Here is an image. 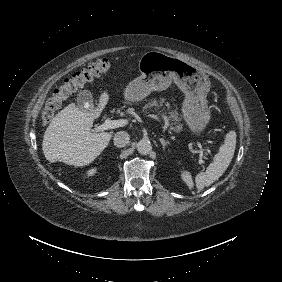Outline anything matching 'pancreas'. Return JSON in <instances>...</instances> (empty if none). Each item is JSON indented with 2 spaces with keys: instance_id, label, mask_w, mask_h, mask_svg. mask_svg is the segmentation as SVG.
I'll return each instance as SVG.
<instances>
[{
  "instance_id": "obj_1",
  "label": "pancreas",
  "mask_w": 282,
  "mask_h": 282,
  "mask_svg": "<svg viewBox=\"0 0 282 282\" xmlns=\"http://www.w3.org/2000/svg\"><path fill=\"white\" fill-rule=\"evenodd\" d=\"M163 105L167 107V112H164L163 108L161 111H159V114L164 119V121L168 123L170 130L177 133L181 132L183 129V125L181 124L182 117L179 116L177 110L169 111L171 109V106L168 102H165V99H160L159 102L157 100H152L143 107V112L147 113V109H150L151 107H156L155 109H159ZM167 114L169 115L167 116Z\"/></svg>"
}]
</instances>
